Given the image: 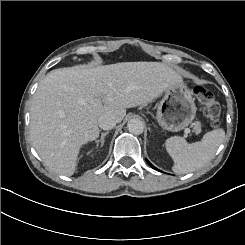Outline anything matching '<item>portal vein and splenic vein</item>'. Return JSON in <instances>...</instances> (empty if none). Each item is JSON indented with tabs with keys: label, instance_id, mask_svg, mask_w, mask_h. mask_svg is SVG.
Here are the masks:
<instances>
[{
	"label": "portal vein and splenic vein",
	"instance_id": "18ae733b",
	"mask_svg": "<svg viewBox=\"0 0 245 245\" xmlns=\"http://www.w3.org/2000/svg\"><path fill=\"white\" fill-rule=\"evenodd\" d=\"M190 132H191V129H190V128H188V127L185 128V130H184V133H185V134H188V133H190Z\"/></svg>",
	"mask_w": 245,
	"mask_h": 245
}]
</instances>
